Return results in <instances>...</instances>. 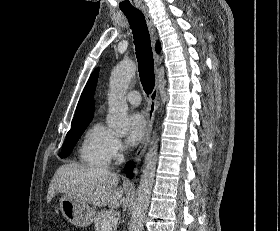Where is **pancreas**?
Here are the masks:
<instances>
[{"mask_svg": "<svg viewBox=\"0 0 280 231\" xmlns=\"http://www.w3.org/2000/svg\"><path fill=\"white\" fill-rule=\"evenodd\" d=\"M112 215H115V211H108V209H102V211H98L94 219V227L96 231H103L104 221H106V219H110ZM114 231H116V227H114Z\"/></svg>", "mask_w": 280, "mask_h": 231, "instance_id": "1", "label": "pancreas"}]
</instances>
